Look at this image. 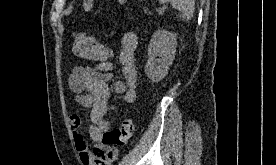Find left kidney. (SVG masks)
Masks as SVG:
<instances>
[{
    "label": "left kidney",
    "mask_w": 276,
    "mask_h": 165,
    "mask_svg": "<svg viewBox=\"0 0 276 165\" xmlns=\"http://www.w3.org/2000/svg\"><path fill=\"white\" fill-rule=\"evenodd\" d=\"M176 36V33L164 29H159L152 35L148 45L145 73L153 82H159L168 74L169 67L175 58Z\"/></svg>",
    "instance_id": "left-kidney-1"
}]
</instances>
